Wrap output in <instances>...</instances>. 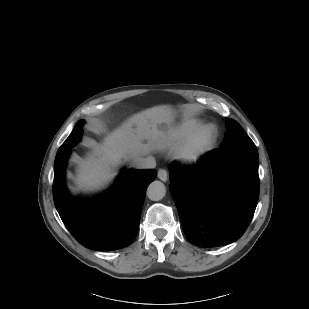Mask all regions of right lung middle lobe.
<instances>
[{
  "label": "right lung middle lobe",
  "mask_w": 309,
  "mask_h": 309,
  "mask_svg": "<svg viewBox=\"0 0 309 309\" xmlns=\"http://www.w3.org/2000/svg\"><path fill=\"white\" fill-rule=\"evenodd\" d=\"M83 122L84 120H80L79 122L76 123L75 128L72 131V133L69 135L66 141L59 148L56 158L68 152L76 143H78L81 140Z\"/></svg>",
  "instance_id": "dd1d6c3e"
}]
</instances>
